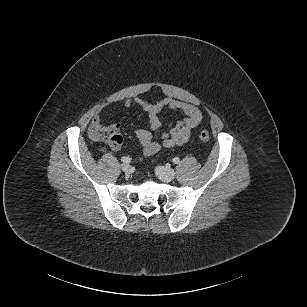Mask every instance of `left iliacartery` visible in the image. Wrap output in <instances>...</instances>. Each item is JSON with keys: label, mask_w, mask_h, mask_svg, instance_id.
Wrapping results in <instances>:
<instances>
[{"label": "left iliac artery", "mask_w": 307, "mask_h": 307, "mask_svg": "<svg viewBox=\"0 0 307 307\" xmlns=\"http://www.w3.org/2000/svg\"><path fill=\"white\" fill-rule=\"evenodd\" d=\"M180 162V159L178 157L173 158V163L178 164Z\"/></svg>", "instance_id": "44dca946"}]
</instances>
